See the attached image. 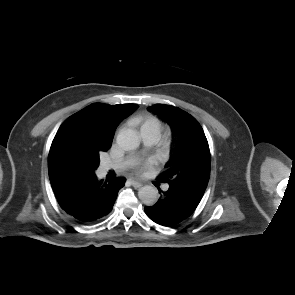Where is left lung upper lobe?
<instances>
[{
  "instance_id": "left-lung-upper-lobe-1",
  "label": "left lung upper lobe",
  "mask_w": 295,
  "mask_h": 295,
  "mask_svg": "<svg viewBox=\"0 0 295 295\" xmlns=\"http://www.w3.org/2000/svg\"><path fill=\"white\" fill-rule=\"evenodd\" d=\"M148 110L169 121L176 136L170 159L158 180L186 189L205 191L210 177L211 156L208 141L198 121L174 106L156 104Z\"/></svg>"
}]
</instances>
